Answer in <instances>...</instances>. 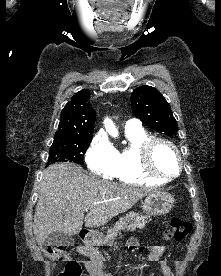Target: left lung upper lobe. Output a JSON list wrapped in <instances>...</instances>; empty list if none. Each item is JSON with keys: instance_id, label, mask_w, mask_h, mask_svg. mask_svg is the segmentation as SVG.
<instances>
[{"instance_id": "left-lung-upper-lobe-1", "label": "left lung upper lobe", "mask_w": 221, "mask_h": 276, "mask_svg": "<svg viewBox=\"0 0 221 276\" xmlns=\"http://www.w3.org/2000/svg\"><path fill=\"white\" fill-rule=\"evenodd\" d=\"M131 106L136 117L151 129L177 136L178 125L169 103L154 87L136 88L131 95Z\"/></svg>"}]
</instances>
